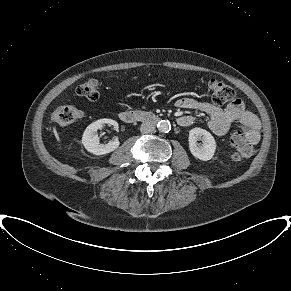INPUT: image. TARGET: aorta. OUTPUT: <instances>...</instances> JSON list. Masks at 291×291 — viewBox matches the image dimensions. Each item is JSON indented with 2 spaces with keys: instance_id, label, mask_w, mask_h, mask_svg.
Instances as JSON below:
<instances>
[{
  "instance_id": "1",
  "label": "aorta",
  "mask_w": 291,
  "mask_h": 291,
  "mask_svg": "<svg viewBox=\"0 0 291 291\" xmlns=\"http://www.w3.org/2000/svg\"><path fill=\"white\" fill-rule=\"evenodd\" d=\"M157 128L162 133H168L171 130V124L169 121L161 120L158 122Z\"/></svg>"
}]
</instances>
